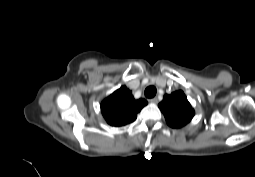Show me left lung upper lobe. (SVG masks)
<instances>
[{
  "label": "left lung upper lobe",
  "instance_id": "1",
  "mask_svg": "<svg viewBox=\"0 0 255 177\" xmlns=\"http://www.w3.org/2000/svg\"><path fill=\"white\" fill-rule=\"evenodd\" d=\"M158 107L163 112L167 124L172 128H181L188 124L195 112L184 92L179 90L164 95Z\"/></svg>",
  "mask_w": 255,
  "mask_h": 177
}]
</instances>
